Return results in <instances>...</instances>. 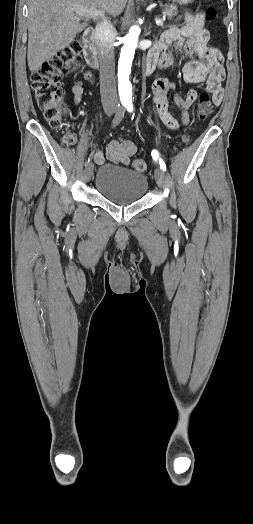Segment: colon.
Here are the masks:
<instances>
[{
  "label": "colon",
  "instance_id": "1",
  "mask_svg": "<svg viewBox=\"0 0 253 524\" xmlns=\"http://www.w3.org/2000/svg\"><path fill=\"white\" fill-rule=\"evenodd\" d=\"M208 19H213L215 10L208 8L205 13ZM83 49V41L80 39L73 40L55 56L44 62L31 75V86L36 97L38 107L43 113L44 118L54 129L63 127V90L61 87V78L67 75L70 70L77 64L80 53ZM90 83L85 80L73 79L70 82V91L77 95H82L84 89L88 88ZM213 107L208 94L203 93L199 97L198 118L201 120L211 116ZM63 141L67 145L75 142V137L66 132L63 135ZM135 170L143 172L147 169V163L138 159L134 162Z\"/></svg>",
  "mask_w": 253,
  "mask_h": 524
}]
</instances>
